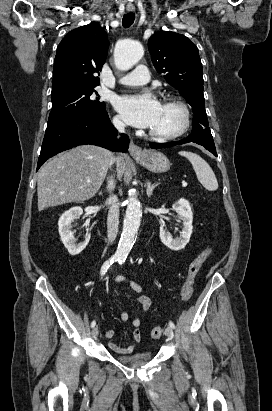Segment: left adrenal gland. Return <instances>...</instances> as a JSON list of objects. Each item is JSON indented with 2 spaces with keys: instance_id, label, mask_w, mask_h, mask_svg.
I'll return each mask as SVG.
<instances>
[{
  "instance_id": "left-adrenal-gland-1",
  "label": "left adrenal gland",
  "mask_w": 272,
  "mask_h": 411,
  "mask_svg": "<svg viewBox=\"0 0 272 411\" xmlns=\"http://www.w3.org/2000/svg\"><path fill=\"white\" fill-rule=\"evenodd\" d=\"M159 183L151 184L150 181L146 182V193L148 197H151L154 189L158 186Z\"/></svg>"
}]
</instances>
